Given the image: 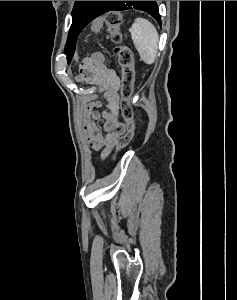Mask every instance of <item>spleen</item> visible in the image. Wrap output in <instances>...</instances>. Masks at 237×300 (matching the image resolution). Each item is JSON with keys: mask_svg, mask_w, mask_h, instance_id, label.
<instances>
[{"mask_svg": "<svg viewBox=\"0 0 237 300\" xmlns=\"http://www.w3.org/2000/svg\"><path fill=\"white\" fill-rule=\"evenodd\" d=\"M132 41L144 63L152 65L157 57L159 35L147 19H135L130 29Z\"/></svg>", "mask_w": 237, "mask_h": 300, "instance_id": "3e777b00", "label": "spleen"}]
</instances>
